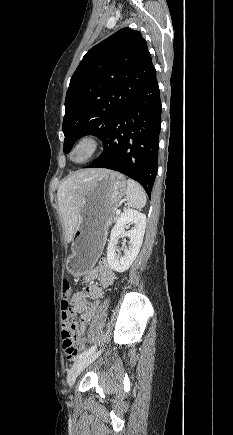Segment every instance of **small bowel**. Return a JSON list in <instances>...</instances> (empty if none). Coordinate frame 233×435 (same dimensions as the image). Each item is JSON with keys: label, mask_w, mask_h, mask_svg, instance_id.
I'll list each match as a JSON object with an SVG mask.
<instances>
[{"label": "small bowel", "mask_w": 233, "mask_h": 435, "mask_svg": "<svg viewBox=\"0 0 233 435\" xmlns=\"http://www.w3.org/2000/svg\"><path fill=\"white\" fill-rule=\"evenodd\" d=\"M96 279H98V282L92 283ZM84 280L89 284L73 293L70 297L72 306L71 314L67 312L62 314L63 330H71L73 325L76 326L77 344L80 348H84L86 343L88 333L86 324L89 323L96 314L101 304L104 289L115 282L116 275L113 270L109 268L107 260L102 258L99 260L97 266L85 275ZM89 299L94 300L95 304L93 306L89 305ZM76 314H80L81 321L71 322L70 320Z\"/></svg>", "instance_id": "c3829d8e"}]
</instances>
